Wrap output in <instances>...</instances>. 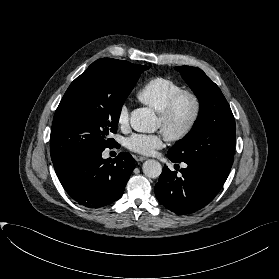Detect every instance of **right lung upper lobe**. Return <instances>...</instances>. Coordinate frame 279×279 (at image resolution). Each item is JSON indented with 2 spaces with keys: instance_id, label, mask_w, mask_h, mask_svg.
<instances>
[{
  "instance_id": "right-lung-upper-lobe-1",
  "label": "right lung upper lobe",
  "mask_w": 279,
  "mask_h": 279,
  "mask_svg": "<svg viewBox=\"0 0 279 279\" xmlns=\"http://www.w3.org/2000/svg\"><path fill=\"white\" fill-rule=\"evenodd\" d=\"M102 59H104V58H102ZM102 59H99V60H97L96 62H98V61H100V60H102ZM114 63H115V65H116V67L119 68V69H120L122 72H124V73H127V71H128L129 69H135V68H137V66H138V65H136V64H131V63L128 62V61L116 60V59H114Z\"/></svg>"
}]
</instances>
